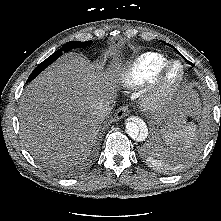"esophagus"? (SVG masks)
<instances>
[{
  "mask_svg": "<svg viewBox=\"0 0 221 221\" xmlns=\"http://www.w3.org/2000/svg\"><path fill=\"white\" fill-rule=\"evenodd\" d=\"M128 114H129L128 107H127V106H122V107H120V108L117 110V112H116V114H115V117H116L117 119H122V118L128 116Z\"/></svg>",
  "mask_w": 221,
  "mask_h": 221,
  "instance_id": "1",
  "label": "esophagus"
}]
</instances>
